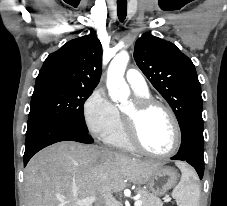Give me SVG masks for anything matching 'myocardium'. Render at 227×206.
Listing matches in <instances>:
<instances>
[{
  "mask_svg": "<svg viewBox=\"0 0 227 206\" xmlns=\"http://www.w3.org/2000/svg\"><path fill=\"white\" fill-rule=\"evenodd\" d=\"M133 106L134 109L131 114H127L125 112L123 113L124 131L129 143L139 152L153 157H169L176 153L181 145L182 132L179 121L174 111L164 102L150 97L135 98L133 101ZM155 107L161 108L168 114L175 131V140L173 147L165 153H156L147 149L140 138L139 127L141 118L147 111Z\"/></svg>",
  "mask_w": 227,
  "mask_h": 206,
  "instance_id": "1",
  "label": "myocardium"
}]
</instances>
